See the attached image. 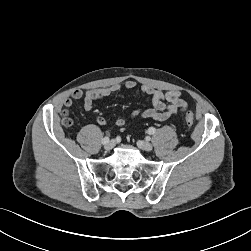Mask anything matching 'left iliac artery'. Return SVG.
I'll list each match as a JSON object with an SVG mask.
<instances>
[{
    "label": "left iliac artery",
    "instance_id": "obj_1",
    "mask_svg": "<svg viewBox=\"0 0 251 251\" xmlns=\"http://www.w3.org/2000/svg\"><path fill=\"white\" fill-rule=\"evenodd\" d=\"M147 132H148V134L153 135V134H155L156 129L154 127H150Z\"/></svg>",
    "mask_w": 251,
    "mask_h": 251
}]
</instances>
